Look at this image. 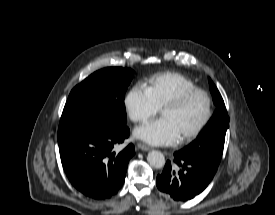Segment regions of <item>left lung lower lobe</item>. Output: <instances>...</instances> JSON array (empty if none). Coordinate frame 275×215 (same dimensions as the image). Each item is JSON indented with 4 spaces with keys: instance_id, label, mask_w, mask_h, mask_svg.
Listing matches in <instances>:
<instances>
[{
    "instance_id": "0a47b994",
    "label": "left lung lower lobe",
    "mask_w": 275,
    "mask_h": 215,
    "mask_svg": "<svg viewBox=\"0 0 275 215\" xmlns=\"http://www.w3.org/2000/svg\"><path fill=\"white\" fill-rule=\"evenodd\" d=\"M217 168L211 162L177 151L174 160H168L157 176V188L175 201L191 200L205 190Z\"/></svg>"
}]
</instances>
